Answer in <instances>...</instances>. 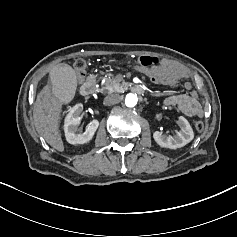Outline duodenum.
<instances>
[{
    "instance_id": "duodenum-1",
    "label": "duodenum",
    "mask_w": 237,
    "mask_h": 237,
    "mask_svg": "<svg viewBox=\"0 0 237 237\" xmlns=\"http://www.w3.org/2000/svg\"><path fill=\"white\" fill-rule=\"evenodd\" d=\"M96 90V81L93 76L87 77L80 88L81 94L84 96H89L93 94ZM134 90L138 93H142L144 91L143 87L140 85L134 86Z\"/></svg>"
}]
</instances>
